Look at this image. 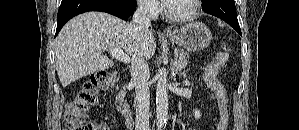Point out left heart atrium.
I'll return each instance as SVG.
<instances>
[{
    "label": "left heart atrium",
    "instance_id": "1",
    "mask_svg": "<svg viewBox=\"0 0 299 130\" xmlns=\"http://www.w3.org/2000/svg\"><path fill=\"white\" fill-rule=\"evenodd\" d=\"M173 2V0H166L165 1V3H167V4H170V3H172Z\"/></svg>",
    "mask_w": 299,
    "mask_h": 130
}]
</instances>
